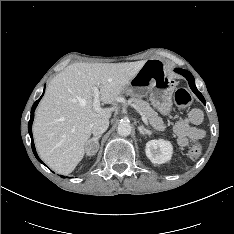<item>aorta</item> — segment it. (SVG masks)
<instances>
[{
    "instance_id": "1",
    "label": "aorta",
    "mask_w": 234,
    "mask_h": 234,
    "mask_svg": "<svg viewBox=\"0 0 234 234\" xmlns=\"http://www.w3.org/2000/svg\"><path fill=\"white\" fill-rule=\"evenodd\" d=\"M131 130H132V127H131L130 123H128V122H121L118 125L117 133L120 136L126 137V136H129L131 134Z\"/></svg>"
}]
</instances>
